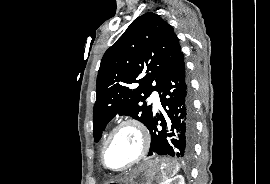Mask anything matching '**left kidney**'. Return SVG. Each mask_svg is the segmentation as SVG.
I'll list each match as a JSON object with an SVG mask.
<instances>
[{
  "instance_id": "5707ae66",
  "label": "left kidney",
  "mask_w": 270,
  "mask_h": 184,
  "mask_svg": "<svg viewBox=\"0 0 270 184\" xmlns=\"http://www.w3.org/2000/svg\"><path fill=\"white\" fill-rule=\"evenodd\" d=\"M161 184H185V181L183 176L178 175L172 179H168L165 182H162Z\"/></svg>"
}]
</instances>
